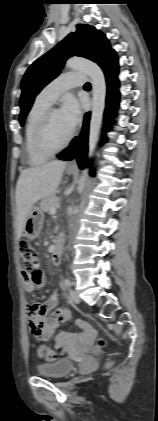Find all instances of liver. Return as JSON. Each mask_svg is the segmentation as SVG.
Segmentation results:
<instances>
[{"instance_id": "6515ba94", "label": "liver", "mask_w": 158, "mask_h": 421, "mask_svg": "<svg viewBox=\"0 0 158 421\" xmlns=\"http://www.w3.org/2000/svg\"><path fill=\"white\" fill-rule=\"evenodd\" d=\"M66 162L53 161L23 170L16 186L17 235L24 231L26 217L33 205L58 188Z\"/></svg>"}]
</instances>
